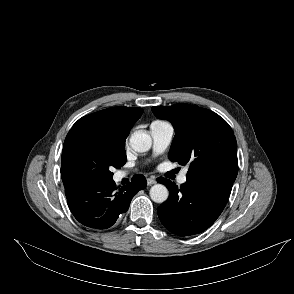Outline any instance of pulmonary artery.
<instances>
[{
    "mask_svg": "<svg viewBox=\"0 0 294 294\" xmlns=\"http://www.w3.org/2000/svg\"><path fill=\"white\" fill-rule=\"evenodd\" d=\"M150 133L153 139V152L158 155L168 148L173 138L174 128L168 122L156 121L150 125ZM126 175V172H120L117 178L120 179ZM177 181L179 184H184L187 181V169L180 173Z\"/></svg>",
    "mask_w": 294,
    "mask_h": 294,
    "instance_id": "1",
    "label": "pulmonary artery"
}]
</instances>
